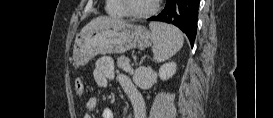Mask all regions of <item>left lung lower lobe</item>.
<instances>
[{
  "label": "left lung lower lobe",
  "instance_id": "obj_1",
  "mask_svg": "<svg viewBox=\"0 0 273 118\" xmlns=\"http://www.w3.org/2000/svg\"><path fill=\"white\" fill-rule=\"evenodd\" d=\"M200 0H166L164 10L148 21L171 23L180 28L194 44L197 30L198 6Z\"/></svg>",
  "mask_w": 273,
  "mask_h": 118
}]
</instances>
